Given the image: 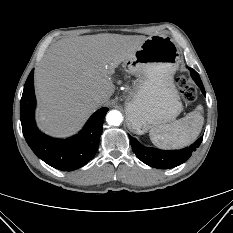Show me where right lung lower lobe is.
Wrapping results in <instances>:
<instances>
[{
	"label": "right lung lower lobe",
	"instance_id": "obj_1",
	"mask_svg": "<svg viewBox=\"0 0 233 233\" xmlns=\"http://www.w3.org/2000/svg\"><path fill=\"white\" fill-rule=\"evenodd\" d=\"M33 76L34 69L26 80L21 98L20 118L25 140L41 160L58 170L72 171L84 166L98 150L108 108L96 111L74 137L66 140L48 137L37 129L34 121L36 99Z\"/></svg>",
	"mask_w": 233,
	"mask_h": 233
}]
</instances>
